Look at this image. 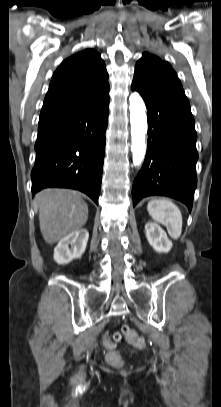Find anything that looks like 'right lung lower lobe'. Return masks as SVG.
Segmentation results:
<instances>
[{
    "label": "right lung lower lobe",
    "instance_id": "1",
    "mask_svg": "<svg viewBox=\"0 0 221 407\" xmlns=\"http://www.w3.org/2000/svg\"><path fill=\"white\" fill-rule=\"evenodd\" d=\"M109 94L80 108L40 117L32 194L47 187L80 190L98 204Z\"/></svg>",
    "mask_w": 221,
    "mask_h": 407
}]
</instances>
